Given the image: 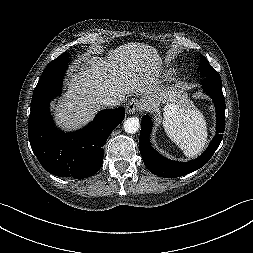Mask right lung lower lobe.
<instances>
[{
	"label": "right lung lower lobe",
	"instance_id": "1",
	"mask_svg": "<svg viewBox=\"0 0 253 253\" xmlns=\"http://www.w3.org/2000/svg\"><path fill=\"white\" fill-rule=\"evenodd\" d=\"M69 54L65 52L45 68L34 90L28 122L31 148L49 173L58 177L83 179L95 174L103 162L107 138L125 117V109L100 111L86 128L60 132L53 124L50 100L61 94Z\"/></svg>",
	"mask_w": 253,
	"mask_h": 253
}]
</instances>
